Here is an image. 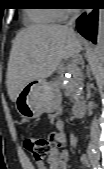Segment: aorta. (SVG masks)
Listing matches in <instances>:
<instances>
[{"label": "aorta", "instance_id": "1", "mask_svg": "<svg viewBox=\"0 0 104 169\" xmlns=\"http://www.w3.org/2000/svg\"><path fill=\"white\" fill-rule=\"evenodd\" d=\"M103 55H104V38H103V32H101L98 35V43L95 49V58L98 60L103 59ZM95 69H102V65L100 63H97Z\"/></svg>", "mask_w": 104, "mask_h": 169}]
</instances>
